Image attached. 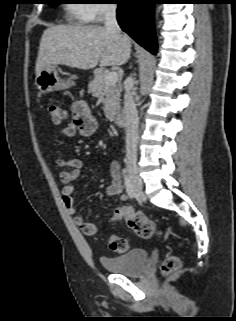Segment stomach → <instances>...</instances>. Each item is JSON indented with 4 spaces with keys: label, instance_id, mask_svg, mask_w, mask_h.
I'll list each match as a JSON object with an SVG mask.
<instances>
[{
    "label": "stomach",
    "instance_id": "0dacf381",
    "mask_svg": "<svg viewBox=\"0 0 236 321\" xmlns=\"http://www.w3.org/2000/svg\"><path fill=\"white\" fill-rule=\"evenodd\" d=\"M35 85L42 93H49L52 91L68 89L74 85V82L70 79L63 80L58 74L56 66L43 69L35 77Z\"/></svg>",
    "mask_w": 236,
    "mask_h": 321
}]
</instances>
